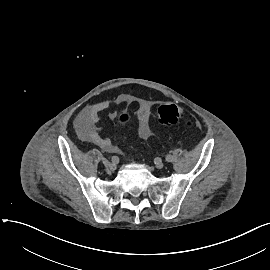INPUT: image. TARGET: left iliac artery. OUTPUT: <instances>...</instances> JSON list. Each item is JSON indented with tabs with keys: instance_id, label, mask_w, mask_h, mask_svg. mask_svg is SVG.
I'll return each mask as SVG.
<instances>
[{
	"instance_id": "44dca946",
	"label": "left iliac artery",
	"mask_w": 270,
	"mask_h": 270,
	"mask_svg": "<svg viewBox=\"0 0 270 270\" xmlns=\"http://www.w3.org/2000/svg\"><path fill=\"white\" fill-rule=\"evenodd\" d=\"M174 160H175L174 156H172V155H167L166 156V161L167 162H174Z\"/></svg>"
}]
</instances>
